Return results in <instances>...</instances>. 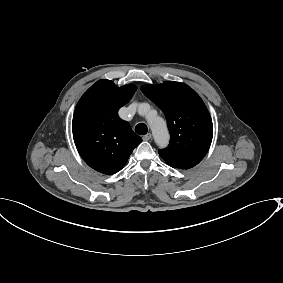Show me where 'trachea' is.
I'll use <instances>...</instances> for the list:
<instances>
[{"label": "trachea", "instance_id": "obj_1", "mask_svg": "<svg viewBox=\"0 0 283 283\" xmlns=\"http://www.w3.org/2000/svg\"><path fill=\"white\" fill-rule=\"evenodd\" d=\"M135 132L139 135H145L148 132V127L144 123H139L135 127Z\"/></svg>", "mask_w": 283, "mask_h": 283}]
</instances>
